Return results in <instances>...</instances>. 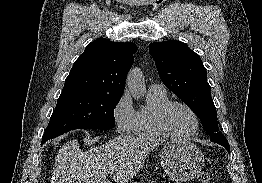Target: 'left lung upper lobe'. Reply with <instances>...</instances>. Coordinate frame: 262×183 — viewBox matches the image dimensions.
Returning <instances> with one entry per match:
<instances>
[{"mask_svg":"<svg viewBox=\"0 0 262 183\" xmlns=\"http://www.w3.org/2000/svg\"><path fill=\"white\" fill-rule=\"evenodd\" d=\"M149 51L162 82L198 116L210 140L227 141L218 131L211 87L199 55L187 44L174 40L151 43Z\"/></svg>","mask_w":262,"mask_h":183,"instance_id":"obj_1","label":"left lung upper lobe"}]
</instances>
